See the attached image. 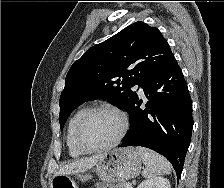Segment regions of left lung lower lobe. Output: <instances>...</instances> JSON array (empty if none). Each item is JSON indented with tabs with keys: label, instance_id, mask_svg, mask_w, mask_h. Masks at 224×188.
Returning a JSON list of instances; mask_svg holds the SVG:
<instances>
[{
	"label": "left lung lower lobe",
	"instance_id": "0a47b994",
	"mask_svg": "<svg viewBox=\"0 0 224 188\" xmlns=\"http://www.w3.org/2000/svg\"><path fill=\"white\" fill-rule=\"evenodd\" d=\"M148 101H134L131 125L119 147L143 146L165 156L179 180L193 127L192 102L183 73L175 59L142 85Z\"/></svg>",
	"mask_w": 224,
	"mask_h": 188
}]
</instances>
